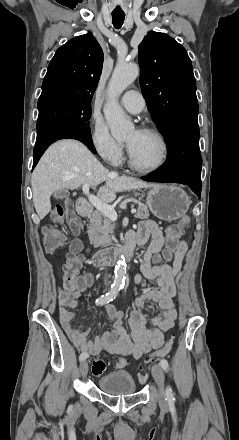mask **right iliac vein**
<instances>
[{
    "label": "right iliac vein",
    "mask_w": 239,
    "mask_h": 440,
    "mask_svg": "<svg viewBox=\"0 0 239 440\" xmlns=\"http://www.w3.org/2000/svg\"><path fill=\"white\" fill-rule=\"evenodd\" d=\"M88 373V364L86 361H82L80 364V374L83 378L87 376Z\"/></svg>",
    "instance_id": "obj_1"
}]
</instances>
